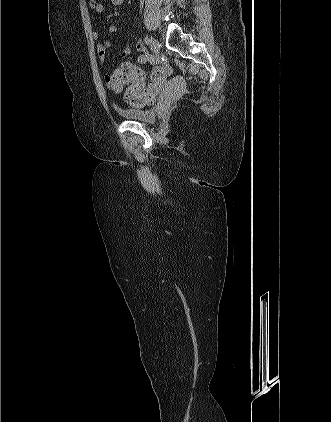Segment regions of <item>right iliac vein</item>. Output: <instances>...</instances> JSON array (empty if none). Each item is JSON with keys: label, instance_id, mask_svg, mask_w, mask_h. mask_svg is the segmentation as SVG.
Returning <instances> with one entry per match:
<instances>
[{"label": "right iliac vein", "instance_id": "obj_1", "mask_svg": "<svg viewBox=\"0 0 331 422\" xmlns=\"http://www.w3.org/2000/svg\"><path fill=\"white\" fill-rule=\"evenodd\" d=\"M148 39H149V44L152 48L153 53L155 55H159V52H160L159 42L152 36H150Z\"/></svg>", "mask_w": 331, "mask_h": 422}]
</instances>
